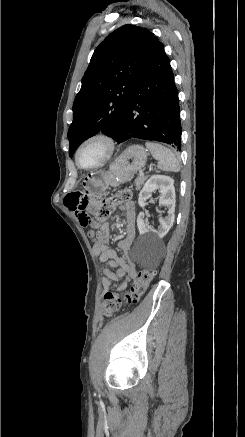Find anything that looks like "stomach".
I'll return each instance as SVG.
<instances>
[{
	"mask_svg": "<svg viewBox=\"0 0 245 437\" xmlns=\"http://www.w3.org/2000/svg\"><path fill=\"white\" fill-rule=\"evenodd\" d=\"M147 160V151L141 145L129 146L110 166L109 171H94L88 174L82 186L85 190L101 196L109 187H117L131 180Z\"/></svg>",
	"mask_w": 245,
	"mask_h": 437,
	"instance_id": "1",
	"label": "stomach"
}]
</instances>
